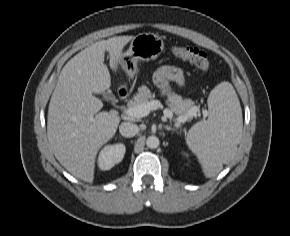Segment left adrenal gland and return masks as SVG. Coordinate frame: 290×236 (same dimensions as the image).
I'll use <instances>...</instances> for the list:
<instances>
[{
  "instance_id": "left-adrenal-gland-1",
  "label": "left adrenal gland",
  "mask_w": 290,
  "mask_h": 236,
  "mask_svg": "<svg viewBox=\"0 0 290 236\" xmlns=\"http://www.w3.org/2000/svg\"><path fill=\"white\" fill-rule=\"evenodd\" d=\"M164 128H165L166 130H168V131H176V130H177L176 128H174V127H170V126H168V125H165Z\"/></svg>"
}]
</instances>
